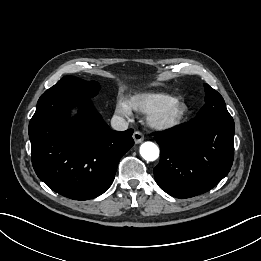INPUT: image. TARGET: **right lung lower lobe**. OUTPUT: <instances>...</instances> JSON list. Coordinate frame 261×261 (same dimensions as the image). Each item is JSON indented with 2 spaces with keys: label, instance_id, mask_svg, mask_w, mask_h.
<instances>
[{
  "label": "right lung lower lobe",
  "instance_id": "obj_1",
  "mask_svg": "<svg viewBox=\"0 0 261 261\" xmlns=\"http://www.w3.org/2000/svg\"><path fill=\"white\" fill-rule=\"evenodd\" d=\"M76 103L73 120L68 115ZM132 134L111 130L90 99L42 95L29 123L33 168L60 195L95 198L111 186L119 160L134 145Z\"/></svg>",
  "mask_w": 261,
  "mask_h": 261
}]
</instances>
